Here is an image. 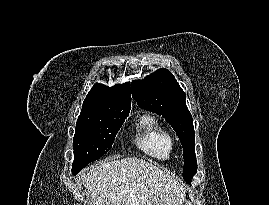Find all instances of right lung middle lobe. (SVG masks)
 I'll return each instance as SVG.
<instances>
[{"label": "right lung middle lobe", "mask_w": 269, "mask_h": 205, "mask_svg": "<svg viewBox=\"0 0 269 205\" xmlns=\"http://www.w3.org/2000/svg\"><path fill=\"white\" fill-rule=\"evenodd\" d=\"M125 118L126 116L78 117L73 139L74 175L109 151Z\"/></svg>", "instance_id": "dd1d6c3e"}]
</instances>
